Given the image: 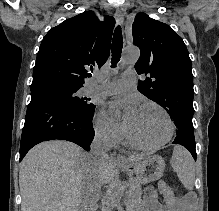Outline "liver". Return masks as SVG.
Here are the masks:
<instances>
[{
  "instance_id": "liver-1",
  "label": "liver",
  "mask_w": 219,
  "mask_h": 211,
  "mask_svg": "<svg viewBox=\"0 0 219 211\" xmlns=\"http://www.w3.org/2000/svg\"><path fill=\"white\" fill-rule=\"evenodd\" d=\"M90 153L76 143L51 139L26 153L19 171L22 211H79L82 201L97 207L101 185L114 181V157L90 165ZM137 161L143 155H129Z\"/></svg>"
}]
</instances>
